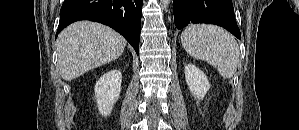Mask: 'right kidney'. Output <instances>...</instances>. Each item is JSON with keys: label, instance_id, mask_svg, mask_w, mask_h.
Segmentation results:
<instances>
[{"label": "right kidney", "instance_id": "obj_1", "mask_svg": "<svg viewBox=\"0 0 299 130\" xmlns=\"http://www.w3.org/2000/svg\"><path fill=\"white\" fill-rule=\"evenodd\" d=\"M122 75L119 70L103 74L95 84L94 93L101 115H110L121 92Z\"/></svg>", "mask_w": 299, "mask_h": 130}]
</instances>
